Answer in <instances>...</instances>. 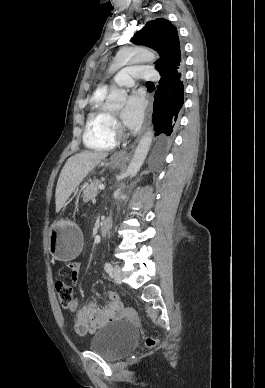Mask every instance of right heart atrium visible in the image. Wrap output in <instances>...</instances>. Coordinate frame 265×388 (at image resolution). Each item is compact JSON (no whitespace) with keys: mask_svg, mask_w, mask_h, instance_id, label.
<instances>
[{"mask_svg":"<svg viewBox=\"0 0 265 388\" xmlns=\"http://www.w3.org/2000/svg\"><path fill=\"white\" fill-rule=\"evenodd\" d=\"M118 126H119V124H118L117 120L113 119L112 120V127L113 128H118Z\"/></svg>","mask_w":265,"mask_h":388,"instance_id":"1","label":"right heart atrium"}]
</instances>
